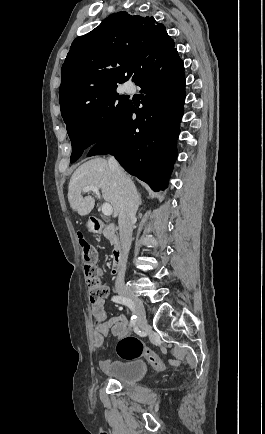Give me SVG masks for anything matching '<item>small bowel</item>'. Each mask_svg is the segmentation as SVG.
<instances>
[{"label":"small bowel","instance_id":"small-bowel-1","mask_svg":"<svg viewBox=\"0 0 265 434\" xmlns=\"http://www.w3.org/2000/svg\"><path fill=\"white\" fill-rule=\"evenodd\" d=\"M91 314L100 322L92 334V342L95 348H102L106 337L110 333L119 338L128 334L129 327L127 317L121 314L107 318V311L105 310L104 302L102 300L92 302ZM164 368L165 363L161 360V368L157 370H162Z\"/></svg>","mask_w":265,"mask_h":434}]
</instances>
